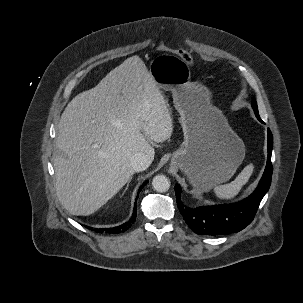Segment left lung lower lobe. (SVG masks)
<instances>
[{
	"label": "left lung lower lobe",
	"instance_id": "obj_1",
	"mask_svg": "<svg viewBox=\"0 0 303 303\" xmlns=\"http://www.w3.org/2000/svg\"><path fill=\"white\" fill-rule=\"evenodd\" d=\"M259 121L263 122L259 114H255ZM273 146V137L268 129V157L263 176L256 190L244 200L233 203L214 206H201L189 208L182 204L181 188L178 184L175 186L178 208L193 232L199 235H226L238 232L249 225L259 207V204L268 191L272 177L271 152Z\"/></svg>",
	"mask_w": 303,
	"mask_h": 303
}]
</instances>
